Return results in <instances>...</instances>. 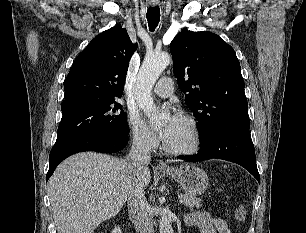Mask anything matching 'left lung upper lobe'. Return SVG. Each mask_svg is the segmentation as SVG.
I'll list each match as a JSON object with an SVG mask.
<instances>
[{"mask_svg": "<svg viewBox=\"0 0 306 233\" xmlns=\"http://www.w3.org/2000/svg\"><path fill=\"white\" fill-rule=\"evenodd\" d=\"M170 51L200 142L220 130L250 127L241 67L231 46L214 33L183 30Z\"/></svg>", "mask_w": 306, "mask_h": 233, "instance_id": "left-lung-upper-lobe-1", "label": "left lung upper lobe"}]
</instances>
